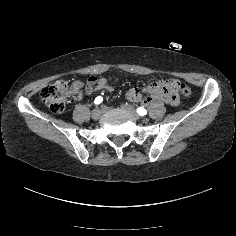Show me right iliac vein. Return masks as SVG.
<instances>
[{"mask_svg":"<svg viewBox=\"0 0 236 236\" xmlns=\"http://www.w3.org/2000/svg\"><path fill=\"white\" fill-rule=\"evenodd\" d=\"M101 115H102V110L101 109H95V110L92 111V118L94 120H97Z\"/></svg>","mask_w":236,"mask_h":236,"instance_id":"1","label":"right iliac vein"}]
</instances>
